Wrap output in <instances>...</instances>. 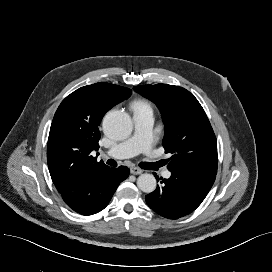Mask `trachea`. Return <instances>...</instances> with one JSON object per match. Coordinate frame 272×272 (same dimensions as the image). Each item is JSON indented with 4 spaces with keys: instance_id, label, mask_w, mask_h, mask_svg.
Returning <instances> with one entry per match:
<instances>
[{
    "instance_id": "1",
    "label": "trachea",
    "mask_w": 272,
    "mask_h": 272,
    "mask_svg": "<svg viewBox=\"0 0 272 272\" xmlns=\"http://www.w3.org/2000/svg\"><path fill=\"white\" fill-rule=\"evenodd\" d=\"M107 164L111 166H117V162L114 159H108ZM156 163H148V162H143L140 163V167L143 169H152Z\"/></svg>"
}]
</instances>
